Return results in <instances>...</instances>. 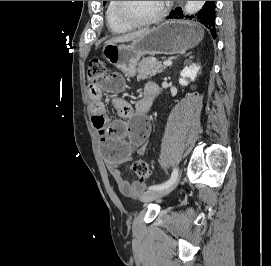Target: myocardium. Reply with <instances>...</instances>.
<instances>
[{
	"mask_svg": "<svg viewBox=\"0 0 271 266\" xmlns=\"http://www.w3.org/2000/svg\"><path fill=\"white\" fill-rule=\"evenodd\" d=\"M115 12L117 17L125 24L131 27L148 26L159 22L167 12V5L165 1H161L160 10L152 17L145 20H138L129 16L124 10V1H116Z\"/></svg>",
	"mask_w": 271,
	"mask_h": 266,
	"instance_id": "1",
	"label": "myocardium"
}]
</instances>
